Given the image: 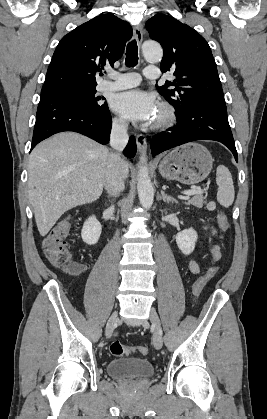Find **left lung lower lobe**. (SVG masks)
Returning <instances> with one entry per match:
<instances>
[{"label": "left lung lower lobe", "instance_id": "0a47b994", "mask_svg": "<svg viewBox=\"0 0 267 419\" xmlns=\"http://www.w3.org/2000/svg\"><path fill=\"white\" fill-rule=\"evenodd\" d=\"M176 117V126L152 138L150 145L153 156L184 143L205 139L223 143L238 161L226 105L197 106Z\"/></svg>", "mask_w": 267, "mask_h": 419}]
</instances>
